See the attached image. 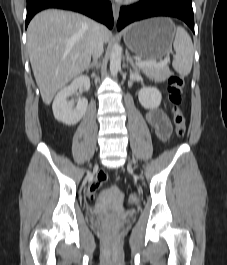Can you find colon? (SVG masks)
I'll use <instances>...</instances> for the list:
<instances>
[{"mask_svg":"<svg viewBox=\"0 0 227 265\" xmlns=\"http://www.w3.org/2000/svg\"><path fill=\"white\" fill-rule=\"evenodd\" d=\"M185 86V79L181 75H173L168 79V99L171 105V112L174 122L175 134L182 138L186 133V120L180 108L182 102V93ZM105 172H99L88 187V193L91 198H95L101 186L107 181ZM140 198L137 194H131L128 197L129 205H137Z\"/></svg>","mask_w":227,"mask_h":265,"instance_id":"colon-1","label":"colon"}]
</instances>
